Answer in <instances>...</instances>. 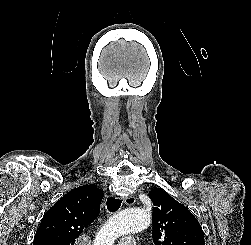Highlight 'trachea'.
I'll use <instances>...</instances> for the list:
<instances>
[{
	"mask_svg": "<svg viewBox=\"0 0 251 245\" xmlns=\"http://www.w3.org/2000/svg\"><path fill=\"white\" fill-rule=\"evenodd\" d=\"M121 203L122 200L110 197L107 199V209L110 212H116L120 208Z\"/></svg>",
	"mask_w": 251,
	"mask_h": 245,
	"instance_id": "trachea-1",
	"label": "trachea"
}]
</instances>
